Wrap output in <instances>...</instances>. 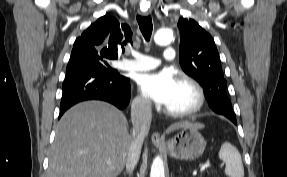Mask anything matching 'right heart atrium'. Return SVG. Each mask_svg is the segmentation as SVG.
Returning a JSON list of instances; mask_svg holds the SVG:
<instances>
[{
	"instance_id": "1",
	"label": "right heart atrium",
	"mask_w": 287,
	"mask_h": 177,
	"mask_svg": "<svg viewBox=\"0 0 287 177\" xmlns=\"http://www.w3.org/2000/svg\"><path fill=\"white\" fill-rule=\"evenodd\" d=\"M149 101L143 96H137L134 100V108L138 113H145L149 110Z\"/></svg>"
}]
</instances>
